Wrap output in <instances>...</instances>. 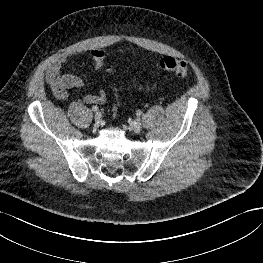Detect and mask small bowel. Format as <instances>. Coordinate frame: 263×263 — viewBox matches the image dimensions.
I'll return each mask as SVG.
<instances>
[{
  "label": "small bowel",
  "mask_w": 263,
  "mask_h": 263,
  "mask_svg": "<svg viewBox=\"0 0 263 263\" xmlns=\"http://www.w3.org/2000/svg\"><path fill=\"white\" fill-rule=\"evenodd\" d=\"M87 57L95 62L96 68H100L104 64V52L101 49H93L89 53L83 50L62 53L50 63L46 72V81L56 99L65 100L69 90L80 89L83 86V81L78 76L62 75V66L69 61L82 60ZM82 99L88 104H101L106 100V93L100 90L96 94H84Z\"/></svg>",
  "instance_id": "c3829d8e"
}]
</instances>
